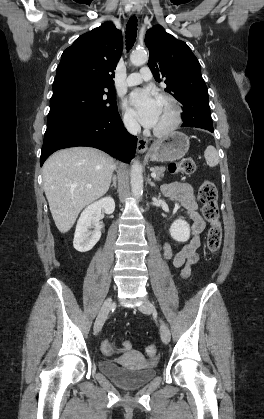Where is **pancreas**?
<instances>
[{
    "label": "pancreas",
    "mask_w": 264,
    "mask_h": 419,
    "mask_svg": "<svg viewBox=\"0 0 264 419\" xmlns=\"http://www.w3.org/2000/svg\"><path fill=\"white\" fill-rule=\"evenodd\" d=\"M165 168L164 167H156L154 169L155 173H156V177L155 180L160 181L161 178L163 177V172H164Z\"/></svg>",
    "instance_id": "cf45deb5"
}]
</instances>
